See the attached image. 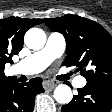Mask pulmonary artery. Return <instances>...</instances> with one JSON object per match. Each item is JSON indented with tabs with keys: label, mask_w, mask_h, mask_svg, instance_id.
<instances>
[{
	"label": "pulmonary artery",
	"mask_w": 112,
	"mask_h": 112,
	"mask_svg": "<svg viewBox=\"0 0 112 112\" xmlns=\"http://www.w3.org/2000/svg\"><path fill=\"white\" fill-rule=\"evenodd\" d=\"M65 50V40L61 34L50 33L45 46L13 66V72L19 75H33L42 72L54 59ZM73 85L77 88L86 85V79L78 76Z\"/></svg>",
	"instance_id": "e3ab8cb5"
}]
</instances>
